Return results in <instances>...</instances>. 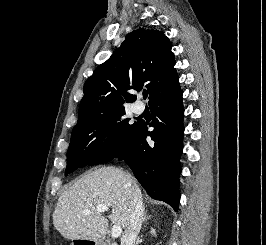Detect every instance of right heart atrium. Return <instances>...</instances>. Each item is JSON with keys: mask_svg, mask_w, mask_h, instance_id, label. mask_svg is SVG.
Instances as JSON below:
<instances>
[{"mask_svg": "<svg viewBox=\"0 0 266 245\" xmlns=\"http://www.w3.org/2000/svg\"><path fill=\"white\" fill-rule=\"evenodd\" d=\"M104 143L108 150L114 151L116 149V139L112 133L106 135Z\"/></svg>", "mask_w": 266, "mask_h": 245, "instance_id": "d8ad5b80", "label": "right heart atrium"}]
</instances>
